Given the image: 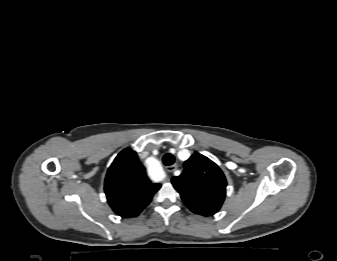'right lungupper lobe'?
Here are the masks:
<instances>
[{"mask_svg": "<svg viewBox=\"0 0 337 261\" xmlns=\"http://www.w3.org/2000/svg\"><path fill=\"white\" fill-rule=\"evenodd\" d=\"M160 187L149 180L136 152L126 148L109 167L104 189L113 211L129 218L138 216Z\"/></svg>", "mask_w": 337, "mask_h": 261, "instance_id": "right-lung-upper-lobe-1", "label": "right lung upper lobe"}]
</instances>
